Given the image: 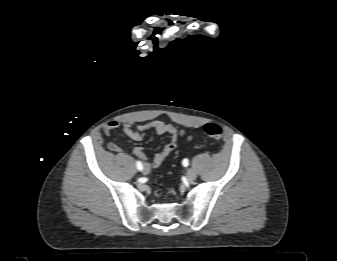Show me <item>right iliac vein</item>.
I'll list each match as a JSON object with an SVG mask.
<instances>
[{"mask_svg": "<svg viewBox=\"0 0 337 261\" xmlns=\"http://www.w3.org/2000/svg\"><path fill=\"white\" fill-rule=\"evenodd\" d=\"M142 172H143L144 175H147L150 172V168L145 165V167L143 168Z\"/></svg>", "mask_w": 337, "mask_h": 261, "instance_id": "1", "label": "right iliac vein"}]
</instances>
